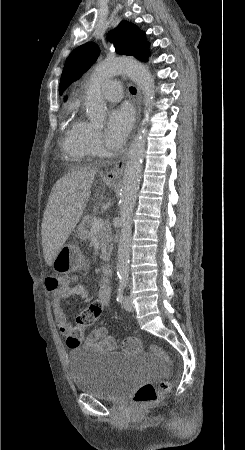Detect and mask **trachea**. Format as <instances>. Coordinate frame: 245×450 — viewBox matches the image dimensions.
<instances>
[{
  "instance_id": "trachea-1",
  "label": "trachea",
  "mask_w": 245,
  "mask_h": 450,
  "mask_svg": "<svg viewBox=\"0 0 245 450\" xmlns=\"http://www.w3.org/2000/svg\"><path fill=\"white\" fill-rule=\"evenodd\" d=\"M130 92H131L132 94H136V88L133 87V86H131V87H130Z\"/></svg>"
}]
</instances>
